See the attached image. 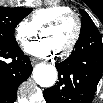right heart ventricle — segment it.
<instances>
[{
  "instance_id": "obj_1",
  "label": "right heart ventricle",
  "mask_w": 103,
  "mask_h": 103,
  "mask_svg": "<svg viewBox=\"0 0 103 103\" xmlns=\"http://www.w3.org/2000/svg\"><path fill=\"white\" fill-rule=\"evenodd\" d=\"M69 12H72V10L68 6L51 5L35 11L31 16V22L37 30H40L52 20Z\"/></svg>"
}]
</instances>
